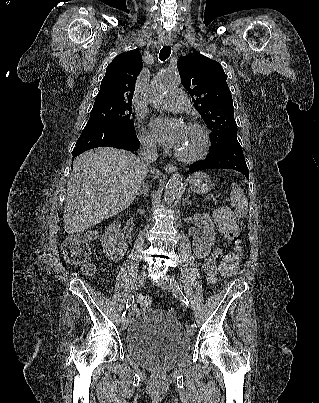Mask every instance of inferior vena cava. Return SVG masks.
Segmentation results:
<instances>
[{
  "label": "inferior vena cava",
  "instance_id": "obj_1",
  "mask_svg": "<svg viewBox=\"0 0 319 403\" xmlns=\"http://www.w3.org/2000/svg\"><path fill=\"white\" fill-rule=\"evenodd\" d=\"M141 150L139 153L141 161L147 166L149 163L156 161L157 148L156 143L149 139H141Z\"/></svg>",
  "mask_w": 319,
  "mask_h": 403
}]
</instances>
